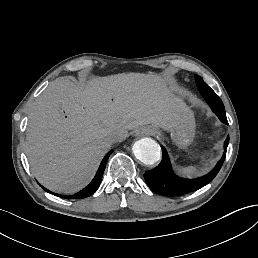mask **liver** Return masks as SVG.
Segmentation results:
<instances>
[{
  "instance_id": "liver-1",
  "label": "liver",
  "mask_w": 258,
  "mask_h": 258,
  "mask_svg": "<svg viewBox=\"0 0 258 258\" xmlns=\"http://www.w3.org/2000/svg\"><path fill=\"white\" fill-rule=\"evenodd\" d=\"M173 83L170 75L138 72L97 76L80 86L56 79L35 102L26 127L32 175L55 193L83 190L109 151L108 133L123 141L140 125L177 124L183 98Z\"/></svg>"
}]
</instances>
